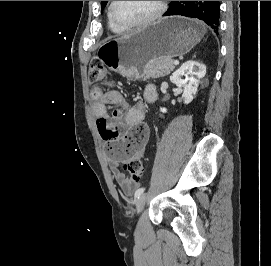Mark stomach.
<instances>
[{"label": "stomach", "instance_id": "0dacf381", "mask_svg": "<svg viewBox=\"0 0 271 266\" xmlns=\"http://www.w3.org/2000/svg\"><path fill=\"white\" fill-rule=\"evenodd\" d=\"M203 35L204 28L197 20L163 18L126 37L103 43L98 58L114 72L141 79L146 77L150 61L184 55Z\"/></svg>", "mask_w": 271, "mask_h": 266}]
</instances>
